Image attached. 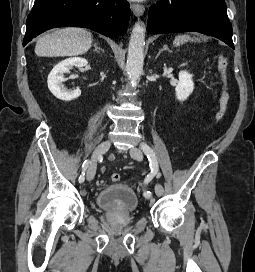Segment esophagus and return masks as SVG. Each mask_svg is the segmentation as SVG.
Listing matches in <instances>:
<instances>
[{
    "mask_svg": "<svg viewBox=\"0 0 255 272\" xmlns=\"http://www.w3.org/2000/svg\"><path fill=\"white\" fill-rule=\"evenodd\" d=\"M131 8L134 15L137 17L142 16L145 11V7L141 4H132Z\"/></svg>",
    "mask_w": 255,
    "mask_h": 272,
    "instance_id": "obj_1",
    "label": "esophagus"
}]
</instances>
